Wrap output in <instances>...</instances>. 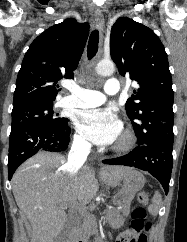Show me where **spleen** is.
Masks as SVG:
<instances>
[{
	"instance_id": "obj_1",
	"label": "spleen",
	"mask_w": 187,
	"mask_h": 242,
	"mask_svg": "<svg viewBox=\"0 0 187 242\" xmlns=\"http://www.w3.org/2000/svg\"><path fill=\"white\" fill-rule=\"evenodd\" d=\"M161 202H162V197H161L160 193L158 191H156L153 196L152 203L148 207L149 212L153 216H156L158 214Z\"/></svg>"
}]
</instances>
